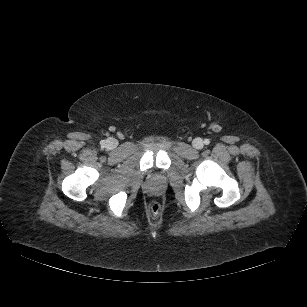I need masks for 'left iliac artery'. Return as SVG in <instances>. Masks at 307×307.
<instances>
[{"instance_id": "44dca946", "label": "left iliac artery", "mask_w": 307, "mask_h": 307, "mask_svg": "<svg viewBox=\"0 0 307 307\" xmlns=\"http://www.w3.org/2000/svg\"><path fill=\"white\" fill-rule=\"evenodd\" d=\"M204 143H205L206 145H208V144L210 143L209 139H205V140H204Z\"/></svg>"}]
</instances>
